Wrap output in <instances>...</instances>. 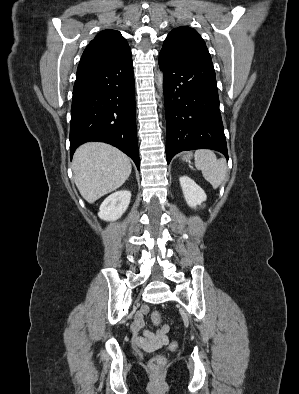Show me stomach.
Wrapping results in <instances>:
<instances>
[{"mask_svg": "<svg viewBox=\"0 0 299 394\" xmlns=\"http://www.w3.org/2000/svg\"><path fill=\"white\" fill-rule=\"evenodd\" d=\"M183 159L186 160V161H189L190 157H184Z\"/></svg>", "mask_w": 299, "mask_h": 394, "instance_id": "1", "label": "stomach"}]
</instances>
